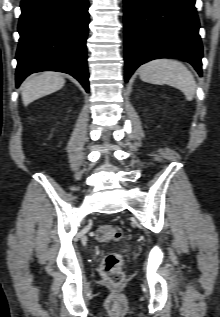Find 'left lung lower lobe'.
<instances>
[{
	"mask_svg": "<svg viewBox=\"0 0 220 317\" xmlns=\"http://www.w3.org/2000/svg\"><path fill=\"white\" fill-rule=\"evenodd\" d=\"M195 0H124L125 81L141 64L178 58L202 75Z\"/></svg>",
	"mask_w": 220,
	"mask_h": 317,
	"instance_id": "1",
	"label": "left lung lower lobe"
}]
</instances>
